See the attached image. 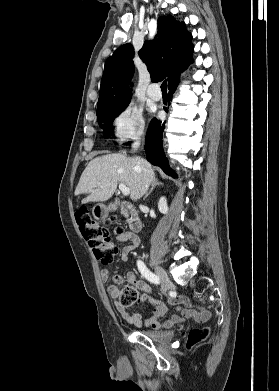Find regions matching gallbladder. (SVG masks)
<instances>
[{
    "instance_id": "1",
    "label": "gallbladder",
    "mask_w": 279,
    "mask_h": 391,
    "mask_svg": "<svg viewBox=\"0 0 279 391\" xmlns=\"http://www.w3.org/2000/svg\"><path fill=\"white\" fill-rule=\"evenodd\" d=\"M115 204H119V201H118V200H116V201H115Z\"/></svg>"
}]
</instances>
